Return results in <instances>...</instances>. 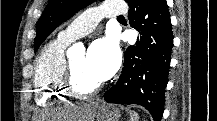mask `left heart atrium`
<instances>
[{
    "label": "left heart atrium",
    "instance_id": "obj_1",
    "mask_svg": "<svg viewBox=\"0 0 217 121\" xmlns=\"http://www.w3.org/2000/svg\"><path fill=\"white\" fill-rule=\"evenodd\" d=\"M86 61L100 82L110 78L120 63V53L116 42L111 37L94 41L87 52Z\"/></svg>",
    "mask_w": 217,
    "mask_h": 121
}]
</instances>
